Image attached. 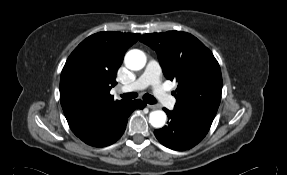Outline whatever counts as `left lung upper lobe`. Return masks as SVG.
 <instances>
[{
    "label": "left lung upper lobe",
    "instance_id": "obj_1",
    "mask_svg": "<svg viewBox=\"0 0 287 175\" xmlns=\"http://www.w3.org/2000/svg\"><path fill=\"white\" fill-rule=\"evenodd\" d=\"M140 41L157 52L165 77L178 82L174 111L207 133L222 92L220 66L212 52L181 31L144 34Z\"/></svg>",
    "mask_w": 287,
    "mask_h": 175
}]
</instances>
